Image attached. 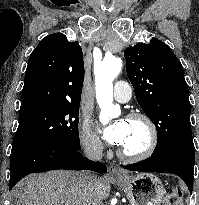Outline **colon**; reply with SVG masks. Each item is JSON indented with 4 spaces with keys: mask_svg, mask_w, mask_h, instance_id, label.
Segmentation results:
<instances>
[{
    "mask_svg": "<svg viewBox=\"0 0 199 205\" xmlns=\"http://www.w3.org/2000/svg\"><path fill=\"white\" fill-rule=\"evenodd\" d=\"M181 192L178 188H172L166 195L162 205H181Z\"/></svg>",
    "mask_w": 199,
    "mask_h": 205,
    "instance_id": "1",
    "label": "colon"
}]
</instances>
